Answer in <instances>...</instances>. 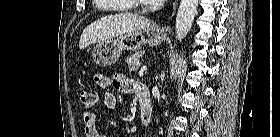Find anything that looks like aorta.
Returning a JSON list of instances; mask_svg holds the SVG:
<instances>
[{"label":"aorta","instance_id":"aorta-1","mask_svg":"<svg viewBox=\"0 0 280 137\" xmlns=\"http://www.w3.org/2000/svg\"><path fill=\"white\" fill-rule=\"evenodd\" d=\"M198 0H181L175 23V38L182 41L191 29L197 13Z\"/></svg>","mask_w":280,"mask_h":137}]
</instances>
